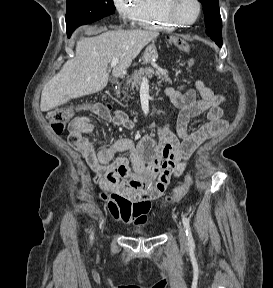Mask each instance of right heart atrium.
Segmentation results:
<instances>
[{"label": "right heart atrium", "mask_w": 273, "mask_h": 288, "mask_svg": "<svg viewBox=\"0 0 273 288\" xmlns=\"http://www.w3.org/2000/svg\"><path fill=\"white\" fill-rule=\"evenodd\" d=\"M140 0H113L114 6L125 22H132Z\"/></svg>", "instance_id": "right-heart-atrium-1"}]
</instances>
